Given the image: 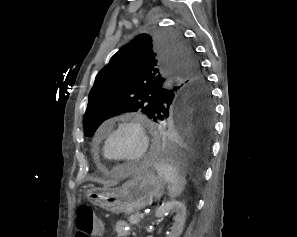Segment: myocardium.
Masks as SVG:
<instances>
[{"instance_id":"1","label":"myocardium","mask_w":297,"mask_h":237,"mask_svg":"<svg viewBox=\"0 0 297 237\" xmlns=\"http://www.w3.org/2000/svg\"><path fill=\"white\" fill-rule=\"evenodd\" d=\"M124 128H130L136 132L140 140L139 152L129 158H118L108 152V144L111 138ZM150 136L147 131L146 122L141 118H129L116 124V126L107 134L104 142L103 153L105 157L117 163H131L143 160L149 152Z\"/></svg>"}]
</instances>
